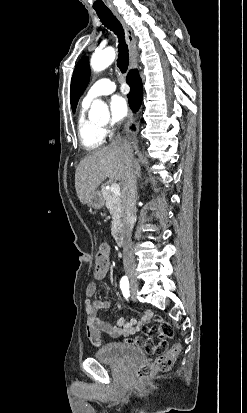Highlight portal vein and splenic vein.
<instances>
[{"instance_id": "1", "label": "portal vein and splenic vein", "mask_w": 247, "mask_h": 413, "mask_svg": "<svg viewBox=\"0 0 247 413\" xmlns=\"http://www.w3.org/2000/svg\"><path fill=\"white\" fill-rule=\"evenodd\" d=\"M111 192H114V194H120V186L119 184H116V182H113L110 186Z\"/></svg>"}]
</instances>
